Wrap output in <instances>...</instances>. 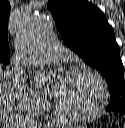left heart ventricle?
Returning a JSON list of instances; mask_svg holds the SVG:
<instances>
[{"label":"left heart ventricle","mask_w":125,"mask_h":128,"mask_svg":"<svg viewBox=\"0 0 125 128\" xmlns=\"http://www.w3.org/2000/svg\"><path fill=\"white\" fill-rule=\"evenodd\" d=\"M53 91L58 104L70 113H82L95 108L101 96L97 80L84 72L63 76L59 85L54 83Z\"/></svg>","instance_id":"1"}]
</instances>
